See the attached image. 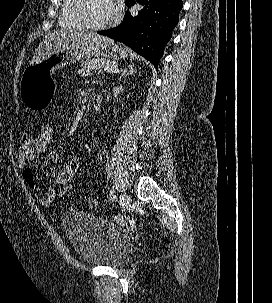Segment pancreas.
Listing matches in <instances>:
<instances>
[{
    "mask_svg": "<svg viewBox=\"0 0 272 303\" xmlns=\"http://www.w3.org/2000/svg\"><path fill=\"white\" fill-rule=\"evenodd\" d=\"M116 67V62L97 60V59H88L82 63V68L78 71V73L82 76H90L94 71L102 72L105 67Z\"/></svg>",
    "mask_w": 272,
    "mask_h": 303,
    "instance_id": "obj_1",
    "label": "pancreas"
}]
</instances>
